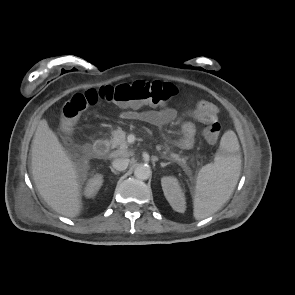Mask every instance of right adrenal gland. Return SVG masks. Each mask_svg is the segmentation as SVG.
<instances>
[{"label":"right adrenal gland","mask_w":295,"mask_h":295,"mask_svg":"<svg viewBox=\"0 0 295 295\" xmlns=\"http://www.w3.org/2000/svg\"><path fill=\"white\" fill-rule=\"evenodd\" d=\"M109 168L112 171V173H114L115 175H118V172L116 170H114V168L112 166H109Z\"/></svg>","instance_id":"right-adrenal-gland-1"}]
</instances>
